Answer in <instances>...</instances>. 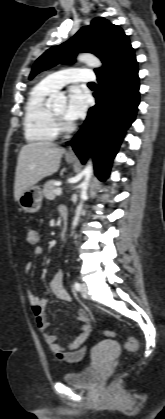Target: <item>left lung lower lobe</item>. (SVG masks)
<instances>
[{
    "instance_id": "1",
    "label": "left lung lower lobe",
    "mask_w": 165,
    "mask_h": 419,
    "mask_svg": "<svg viewBox=\"0 0 165 419\" xmlns=\"http://www.w3.org/2000/svg\"><path fill=\"white\" fill-rule=\"evenodd\" d=\"M97 78L96 105L89 109L71 145L83 164L88 156L93 157L95 174L104 181L139 105L138 63L133 48Z\"/></svg>"
}]
</instances>
